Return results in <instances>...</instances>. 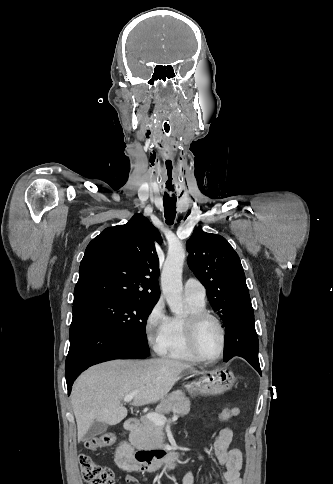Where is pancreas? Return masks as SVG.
<instances>
[{"instance_id": "pancreas-1", "label": "pancreas", "mask_w": 333, "mask_h": 484, "mask_svg": "<svg viewBox=\"0 0 333 484\" xmlns=\"http://www.w3.org/2000/svg\"><path fill=\"white\" fill-rule=\"evenodd\" d=\"M175 409L173 416H184L190 412V401L182 391H175L162 399L155 412L159 414L169 413ZM131 443L139 449H154L164 445L163 427L150 421L146 417L141 418V425L129 435Z\"/></svg>"}]
</instances>
